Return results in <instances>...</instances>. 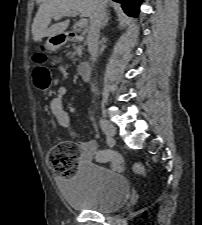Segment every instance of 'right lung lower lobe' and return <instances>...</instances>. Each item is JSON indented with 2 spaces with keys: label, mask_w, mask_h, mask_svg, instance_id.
Segmentation results:
<instances>
[{
  "label": "right lung lower lobe",
  "mask_w": 202,
  "mask_h": 225,
  "mask_svg": "<svg viewBox=\"0 0 202 225\" xmlns=\"http://www.w3.org/2000/svg\"><path fill=\"white\" fill-rule=\"evenodd\" d=\"M122 4V8L126 14L137 17L141 0H114Z\"/></svg>",
  "instance_id": "98d812e1"
}]
</instances>
